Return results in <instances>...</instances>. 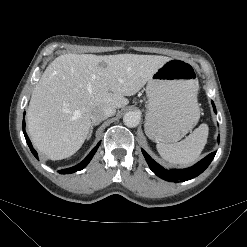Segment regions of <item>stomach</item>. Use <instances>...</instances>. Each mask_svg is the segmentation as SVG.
Segmentation results:
<instances>
[{
  "label": "stomach",
  "mask_w": 247,
  "mask_h": 247,
  "mask_svg": "<svg viewBox=\"0 0 247 247\" xmlns=\"http://www.w3.org/2000/svg\"><path fill=\"white\" fill-rule=\"evenodd\" d=\"M194 78V69L187 61L170 59L148 80L144 127L151 140L174 143L195 127L200 110L194 104L198 90Z\"/></svg>",
  "instance_id": "1"
}]
</instances>
